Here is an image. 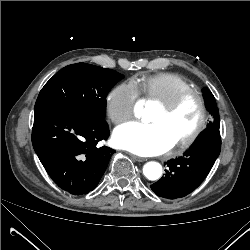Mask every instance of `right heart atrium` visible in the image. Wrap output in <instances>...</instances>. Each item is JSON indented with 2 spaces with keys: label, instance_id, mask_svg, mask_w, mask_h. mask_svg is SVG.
Segmentation results:
<instances>
[{
  "label": "right heart atrium",
  "instance_id": "1",
  "mask_svg": "<svg viewBox=\"0 0 250 250\" xmlns=\"http://www.w3.org/2000/svg\"><path fill=\"white\" fill-rule=\"evenodd\" d=\"M138 101L139 93L136 85L129 82L116 85L105 98V108L109 119L116 125L127 121L135 114Z\"/></svg>",
  "mask_w": 250,
  "mask_h": 250
}]
</instances>
